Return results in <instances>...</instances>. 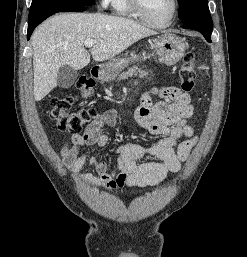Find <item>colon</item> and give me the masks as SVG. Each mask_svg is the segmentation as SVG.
Segmentation results:
<instances>
[{"mask_svg": "<svg viewBox=\"0 0 247 257\" xmlns=\"http://www.w3.org/2000/svg\"><path fill=\"white\" fill-rule=\"evenodd\" d=\"M197 59L193 53H188L180 69V88L190 92L194 87L195 69ZM94 81L90 78H80L75 88L82 98H90L94 94ZM76 97L66 95L51 99V116L56 121L58 128L72 133H79L87 127L98 115L95 108L72 110Z\"/></svg>", "mask_w": 247, "mask_h": 257, "instance_id": "obj_1", "label": "colon"}]
</instances>
